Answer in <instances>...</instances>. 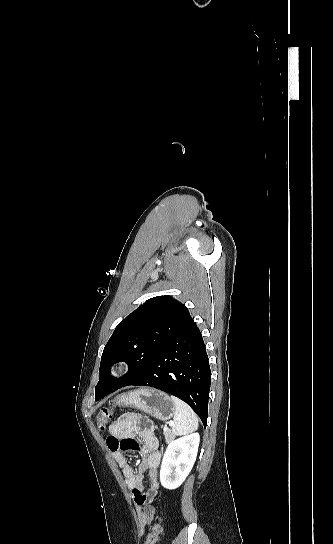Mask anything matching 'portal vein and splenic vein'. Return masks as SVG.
Instances as JSON below:
<instances>
[{"label": "portal vein and splenic vein", "instance_id": "obj_1", "mask_svg": "<svg viewBox=\"0 0 333 544\" xmlns=\"http://www.w3.org/2000/svg\"><path fill=\"white\" fill-rule=\"evenodd\" d=\"M169 425H170V426H172V425H173V423H172V422H170V423H169ZM166 430H167V428H164V431H166Z\"/></svg>", "mask_w": 333, "mask_h": 544}]
</instances>
